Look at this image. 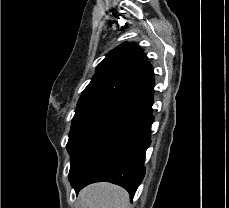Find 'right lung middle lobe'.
Instances as JSON below:
<instances>
[{"instance_id":"1","label":"right lung middle lobe","mask_w":229,"mask_h":208,"mask_svg":"<svg viewBox=\"0 0 229 208\" xmlns=\"http://www.w3.org/2000/svg\"><path fill=\"white\" fill-rule=\"evenodd\" d=\"M147 106L119 97H105L77 105L67 143L70 171L108 136L129 123Z\"/></svg>"}]
</instances>
